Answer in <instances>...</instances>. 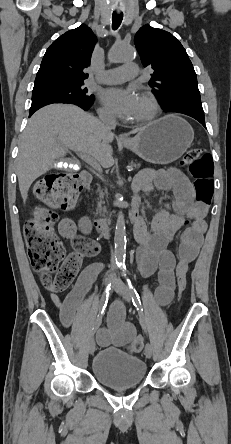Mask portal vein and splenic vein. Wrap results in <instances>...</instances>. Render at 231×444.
I'll return each mask as SVG.
<instances>
[{
	"label": "portal vein and splenic vein",
	"mask_w": 231,
	"mask_h": 444,
	"mask_svg": "<svg viewBox=\"0 0 231 444\" xmlns=\"http://www.w3.org/2000/svg\"><path fill=\"white\" fill-rule=\"evenodd\" d=\"M78 156L92 168H94L98 172H102V168L95 158L86 154H78Z\"/></svg>",
	"instance_id": "portal-vein-and-splenic-vein-1"
}]
</instances>
